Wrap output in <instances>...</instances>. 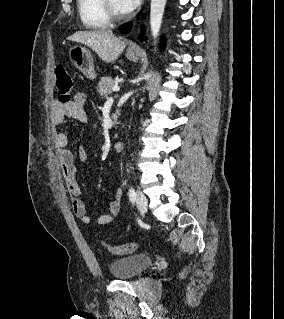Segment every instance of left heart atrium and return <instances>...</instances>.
Returning <instances> with one entry per match:
<instances>
[{
	"label": "left heart atrium",
	"instance_id": "1",
	"mask_svg": "<svg viewBox=\"0 0 284 319\" xmlns=\"http://www.w3.org/2000/svg\"><path fill=\"white\" fill-rule=\"evenodd\" d=\"M122 8L126 12L135 10L141 3V0H119Z\"/></svg>",
	"mask_w": 284,
	"mask_h": 319
}]
</instances>
